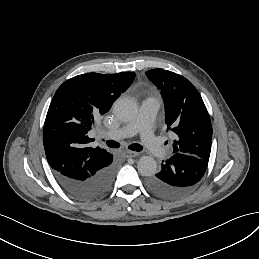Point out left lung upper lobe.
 Here are the masks:
<instances>
[{"mask_svg":"<svg viewBox=\"0 0 259 259\" xmlns=\"http://www.w3.org/2000/svg\"><path fill=\"white\" fill-rule=\"evenodd\" d=\"M146 75L161 90L167 129L177 135L173 153L209 160L212 125L197 89L183 76L168 70L153 69Z\"/></svg>","mask_w":259,"mask_h":259,"instance_id":"left-lung-upper-lobe-1","label":"left lung upper lobe"}]
</instances>
